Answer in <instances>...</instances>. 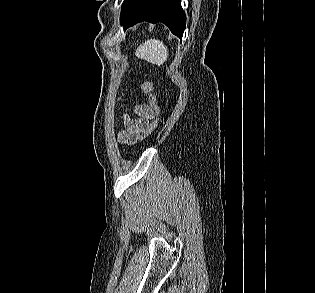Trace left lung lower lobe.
Here are the masks:
<instances>
[{"label":"left lung lower lobe","mask_w":315,"mask_h":293,"mask_svg":"<svg viewBox=\"0 0 315 293\" xmlns=\"http://www.w3.org/2000/svg\"><path fill=\"white\" fill-rule=\"evenodd\" d=\"M142 21L151 23L162 22L168 26L173 34L182 38L186 16L180 0H140L121 19L124 29Z\"/></svg>","instance_id":"left-lung-lower-lobe-1"}]
</instances>
